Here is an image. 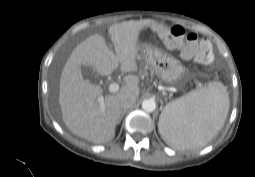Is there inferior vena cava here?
Instances as JSON below:
<instances>
[{
    "label": "inferior vena cava",
    "mask_w": 255,
    "mask_h": 177,
    "mask_svg": "<svg viewBox=\"0 0 255 177\" xmlns=\"http://www.w3.org/2000/svg\"><path fill=\"white\" fill-rule=\"evenodd\" d=\"M135 102H136V97L132 95L125 96L121 100V107L126 110L130 108L131 106H133Z\"/></svg>",
    "instance_id": "inferior-vena-cava-1"
}]
</instances>
